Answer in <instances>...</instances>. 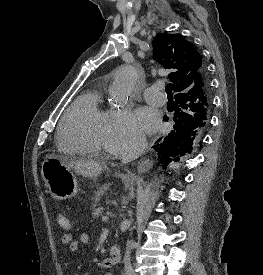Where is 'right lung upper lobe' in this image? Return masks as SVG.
<instances>
[{
	"instance_id": "cb5924a9",
	"label": "right lung upper lobe",
	"mask_w": 263,
	"mask_h": 275,
	"mask_svg": "<svg viewBox=\"0 0 263 275\" xmlns=\"http://www.w3.org/2000/svg\"><path fill=\"white\" fill-rule=\"evenodd\" d=\"M153 58L171 70L169 79L177 95L185 97L184 104L209 116L211 110L210 85L201 71L205 69L195 46L179 34H157L153 42ZM188 107V108H189Z\"/></svg>"
}]
</instances>
